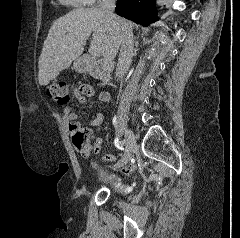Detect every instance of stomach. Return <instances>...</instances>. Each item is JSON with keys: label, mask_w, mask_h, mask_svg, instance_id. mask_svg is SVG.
I'll use <instances>...</instances> for the list:
<instances>
[{"label": "stomach", "mask_w": 240, "mask_h": 238, "mask_svg": "<svg viewBox=\"0 0 240 238\" xmlns=\"http://www.w3.org/2000/svg\"><path fill=\"white\" fill-rule=\"evenodd\" d=\"M73 67L77 72L83 73V72L87 71L88 64L86 62L82 61V59H77V60H75Z\"/></svg>", "instance_id": "0dacf381"}]
</instances>
